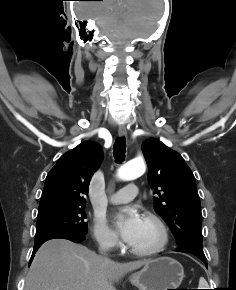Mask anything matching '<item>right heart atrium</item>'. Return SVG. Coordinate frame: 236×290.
<instances>
[{"label": "right heart atrium", "instance_id": "d8ad5b80", "mask_svg": "<svg viewBox=\"0 0 236 290\" xmlns=\"http://www.w3.org/2000/svg\"><path fill=\"white\" fill-rule=\"evenodd\" d=\"M92 233L97 244L104 249L113 250L119 245L116 233L101 219L94 221Z\"/></svg>", "mask_w": 236, "mask_h": 290}]
</instances>
